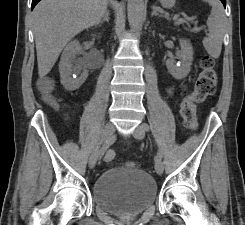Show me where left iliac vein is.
Masks as SVG:
<instances>
[{
  "instance_id": "obj_1",
  "label": "left iliac vein",
  "mask_w": 245,
  "mask_h": 225,
  "mask_svg": "<svg viewBox=\"0 0 245 225\" xmlns=\"http://www.w3.org/2000/svg\"><path fill=\"white\" fill-rule=\"evenodd\" d=\"M133 136L138 139L141 140L144 138L145 136V130L143 128L142 125H139L136 127V129L133 131ZM155 171L157 174L161 175L164 171V164L161 160H156L155 162Z\"/></svg>"
}]
</instances>
